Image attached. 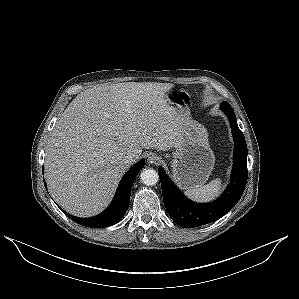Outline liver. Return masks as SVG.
I'll use <instances>...</instances> for the list:
<instances>
[{
  "mask_svg": "<svg viewBox=\"0 0 299 299\" xmlns=\"http://www.w3.org/2000/svg\"><path fill=\"white\" fill-rule=\"evenodd\" d=\"M170 83H117L89 88L68 105L48 139L45 177L55 201L72 215L100 213L142 148L180 145L186 116L168 104Z\"/></svg>",
  "mask_w": 299,
  "mask_h": 299,
  "instance_id": "1",
  "label": "liver"
}]
</instances>
